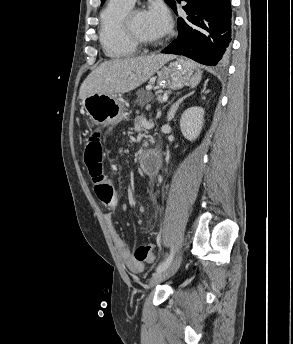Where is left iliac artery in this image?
Returning a JSON list of instances; mask_svg holds the SVG:
<instances>
[{"label": "left iliac artery", "mask_w": 293, "mask_h": 344, "mask_svg": "<svg viewBox=\"0 0 293 344\" xmlns=\"http://www.w3.org/2000/svg\"><path fill=\"white\" fill-rule=\"evenodd\" d=\"M173 256H174V251L172 249L168 258L165 261H163L161 264L158 265V267L156 268V272L163 271L164 269L169 267V265L171 264V262L173 260Z\"/></svg>", "instance_id": "1"}]
</instances>
